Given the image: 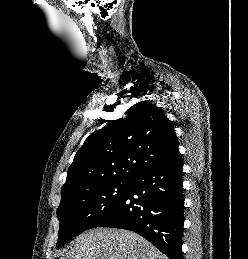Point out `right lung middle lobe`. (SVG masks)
Listing matches in <instances>:
<instances>
[{
    "label": "right lung middle lobe",
    "mask_w": 248,
    "mask_h": 259,
    "mask_svg": "<svg viewBox=\"0 0 248 259\" xmlns=\"http://www.w3.org/2000/svg\"><path fill=\"white\" fill-rule=\"evenodd\" d=\"M131 181L92 183L69 190L57 209L60 221L57 247L76 234L107 220L130 187Z\"/></svg>",
    "instance_id": "dd1d6c3e"
}]
</instances>
